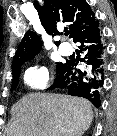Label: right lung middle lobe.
<instances>
[{
	"instance_id": "dd1d6c3e",
	"label": "right lung middle lobe",
	"mask_w": 117,
	"mask_h": 136,
	"mask_svg": "<svg viewBox=\"0 0 117 136\" xmlns=\"http://www.w3.org/2000/svg\"><path fill=\"white\" fill-rule=\"evenodd\" d=\"M62 66V63H58L56 65V72L59 70V68ZM20 72H21V65L14 68L12 70V74H13V82H12V87L11 89H15L18 82H19V76H20Z\"/></svg>"
}]
</instances>
